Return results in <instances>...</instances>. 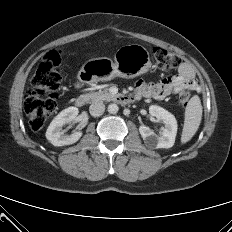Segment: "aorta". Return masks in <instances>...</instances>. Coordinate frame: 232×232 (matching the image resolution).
Wrapping results in <instances>:
<instances>
[{"label":"aorta","instance_id":"obj_1","mask_svg":"<svg viewBox=\"0 0 232 232\" xmlns=\"http://www.w3.org/2000/svg\"><path fill=\"white\" fill-rule=\"evenodd\" d=\"M119 111V107L115 103L108 105V112L110 114H116Z\"/></svg>","mask_w":232,"mask_h":232}]
</instances>
